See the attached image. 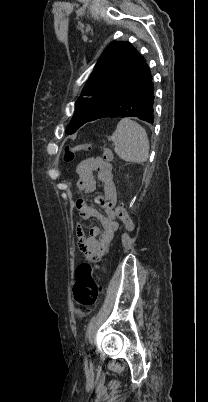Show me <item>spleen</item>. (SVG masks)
<instances>
[{
  "instance_id": "obj_1",
  "label": "spleen",
  "mask_w": 208,
  "mask_h": 402,
  "mask_svg": "<svg viewBox=\"0 0 208 402\" xmlns=\"http://www.w3.org/2000/svg\"><path fill=\"white\" fill-rule=\"evenodd\" d=\"M108 140L114 142V152L121 160L134 162V164L147 162L150 146L146 130L130 118L120 120L115 132L109 136Z\"/></svg>"
}]
</instances>
